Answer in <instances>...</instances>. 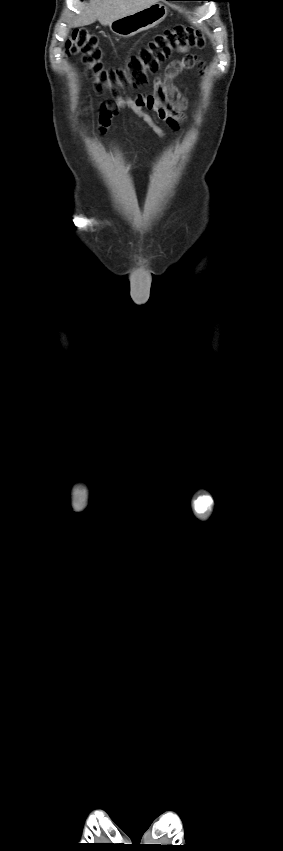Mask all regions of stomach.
Returning a JSON list of instances; mask_svg holds the SVG:
<instances>
[{"mask_svg": "<svg viewBox=\"0 0 283 851\" xmlns=\"http://www.w3.org/2000/svg\"><path fill=\"white\" fill-rule=\"evenodd\" d=\"M167 14V7L157 2L133 14L114 20L109 27L115 35L129 38L159 25Z\"/></svg>", "mask_w": 283, "mask_h": 851, "instance_id": "obj_1", "label": "stomach"}]
</instances>
